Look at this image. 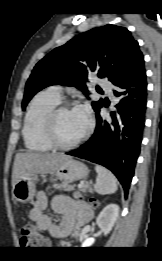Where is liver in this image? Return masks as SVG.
Instances as JSON below:
<instances>
[{
	"label": "liver",
	"mask_w": 162,
	"mask_h": 261,
	"mask_svg": "<svg viewBox=\"0 0 162 261\" xmlns=\"http://www.w3.org/2000/svg\"><path fill=\"white\" fill-rule=\"evenodd\" d=\"M69 156L63 153H18L14 160L12 171V187L21 179L33 175H45L55 169Z\"/></svg>",
	"instance_id": "obj_1"
}]
</instances>
